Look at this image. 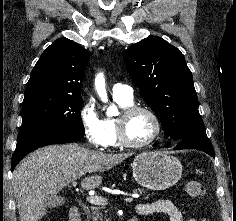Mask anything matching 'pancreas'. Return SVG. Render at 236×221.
<instances>
[{"label":"pancreas","instance_id":"1","mask_svg":"<svg viewBox=\"0 0 236 221\" xmlns=\"http://www.w3.org/2000/svg\"><path fill=\"white\" fill-rule=\"evenodd\" d=\"M135 192L144 193L143 189H136ZM87 220L86 221H104L106 217L103 214V207L91 206L90 209L86 211Z\"/></svg>","mask_w":236,"mask_h":221}]
</instances>
